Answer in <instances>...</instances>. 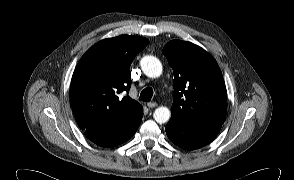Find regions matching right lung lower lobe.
I'll return each instance as SVG.
<instances>
[{"label":"right lung lower lobe","mask_w":294,"mask_h":180,"mask_svg":"<svg viewBox=\"0 0 294 180\" xmlns=\"http://www.w3.org/2000/svg\"><path fill=\"white\" fill-rule=\"evenodd\" d=\"M143 117V107L136 109L130 117L118 127L103 132L87 133V137L102 147H114L130 139L137 131Z\"/></svg>","instance_id":"1"}]
</instances>
